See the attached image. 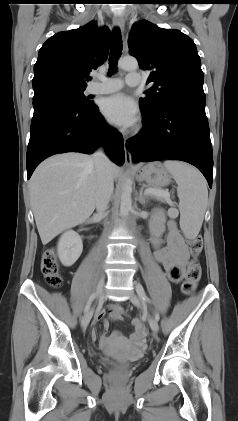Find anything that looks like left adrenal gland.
Here are the masks:
<instances>
[{
    "label": "left adrenal gland",
    "mask_w": 238,
    "mask_h": 421,
    "mask_svg": "<svg viewBox=\"0 0 238 421\" xmlns=\"http://www.w3.org/2000/svg\"><path fill=\"white\" fill-rule=\"evenodd\" d=\"M139 202L142 205H145L146 203H148V198L145 197L144 193H143V188L140 189L139 191V198H138Z\"/></svg>",
    "instance_id": "1"
}]
</instances>
